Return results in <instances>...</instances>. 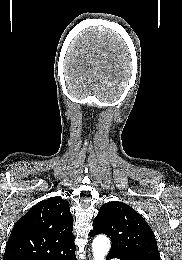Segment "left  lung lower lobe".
Returning <instances> with one entry per match:
<instances>
[{
  "instance_id": "obj_1",
  "label": "left lung lower lobe",
  "mask_w": 182,
  "mask_h": 260,
  "mask_svg": "<svg viewBox=\"0 0 182 260\" xmlns=\"http://www.w3.org/2000/svg\"><path fill=\"white\" fill-rule=\"evenodd\" d=\"M108 257L109 258H119L120 260H133L131 258H125V257H121V256H118V255H115V254H111V253L108 254Z\"/></svg>"
}]
</instances>
